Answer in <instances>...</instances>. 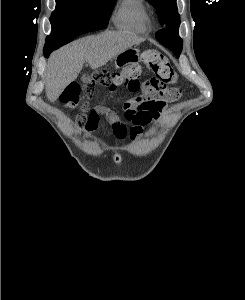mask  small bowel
Listing matches in <instances>:
<instances>
[{"mask_svg":"<svg viewBox=\"0 0 245 300\" xmlns=\"http://www.w3.org/2000/svg\"><path fill=\"white\" fill-rule=\"evenodd\" d=\"M131 93L135 96L124 103L125 118L130 122V128L115 111L105 107L91 110L84 107V113L77 118L78 127L87 134H91L98 128L100 117L104 116L117 140L136 141L140 139L145 133L146 126L160 120L166 109V102L155 97L148 81H140L139 89Z\"/></svg>","mask_w":245,"mask_h":300,"instance_id":"obj_1","label":"small bowel"}]
</instances>
